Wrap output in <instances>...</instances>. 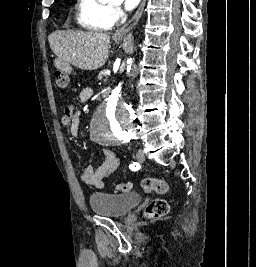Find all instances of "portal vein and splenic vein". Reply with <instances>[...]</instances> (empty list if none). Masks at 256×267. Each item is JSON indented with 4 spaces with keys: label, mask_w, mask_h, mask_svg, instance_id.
Here are the masks:
<instances>
[{
    "label": "portal vein and splenic vein",
    "mask_w": 256,
    "mask_h": 267,
    "mask_svg": "<svg viewBox=\"0 0 256 267\" xmlns=\"http://www.w3.org/2000/svg\"><path fill=\"white\" fill-rule=\"evenodd\" d=\"M105 75H106V76H109V75H110L109 70H106Z\"/></svg>",
    "instance_id": "obj_1"
}]
</instances>
